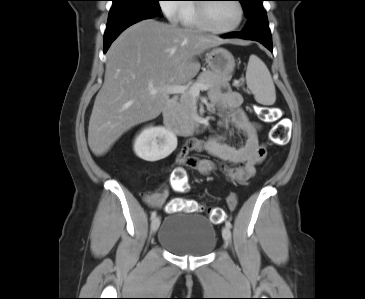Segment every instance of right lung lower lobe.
Wrapping results in <instances>:
<instances>
[{"mask_svg":"<svg viewBox=\"0 0 365 299\" xmlns=\"http://www.w3.org/2000/svg\"><path fill=\"white\" fill-rule=\"evenodd\" d=\"M156 16H162V14L156 11H135L109 18L104 34V53H106L111 43L126 28L141 20L153 18Z\"/></svg>","mask_w":365,"mask_h":299,"instance_id":"98d812e1","label":"right lung lower lobe"}]
</instances>
